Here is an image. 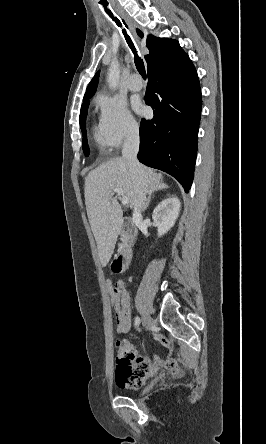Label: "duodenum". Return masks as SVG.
I'll return each mask as SVG.
<instances>
[{
	"instance_id": "duodenum-1",
	"label": "duodenum",
	"mask_w": 266,
	"mask_h": 444,
	"mask_svg": "<svg viewBox=\"0 0 266 444\" xmlns=\"http://www.w3.org/2000/svg\"><path fill=\"white\" fill-rule=\"evenodd\" d=\"M124 233L119 252L114 260V265L118 272H127L133 257V243L136 239L137 231L130 220L123 221Z\"/></svg>"
}]
</instances>
